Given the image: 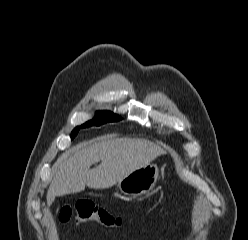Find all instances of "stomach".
Instances as JSON below:
<instances>
[{
	"label": "stomach",
	"mask_w": 248,
	"mask_h": 240,
	"mask_svg": "<svg viewBox=\"0 0 248 240\" xmlns=\"http://www.w3.org/2000/svg\"><path fill=\"white\" fill-rule=\"evenodd\" d=\"M159 178L157 165L149 164L139 168L118 182V189L128 196H141L149 193Z\"/></svg>",
	"instance_id": "stomach-1"
}]
</instances>
